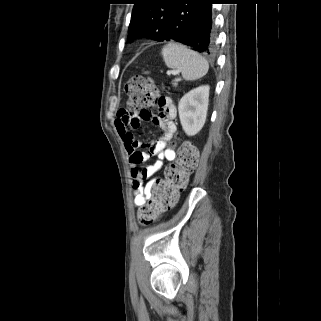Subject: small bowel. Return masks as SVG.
<instances>
[{
	"mask_svg": "<svg viewBox=\"0 0 321 321\" xmlns=\"http://www.w3.org/2000/svg\"><path fill=\"white\" fill-rule=\"evenodd\" d=\"M155 107L157 113H152L148 109L136 112L121 109L115 120L116 130L124 143L131 165L134 204L138 207L146 203L152 196L156 182L161 181V178L155 175L162 168L164 161H173L176 158L175 150L167 146L176 131V107L171 98L166 96L160 97ZM143 121H152L162 129L163 134L158 139L142 144L134 137L132 131ZM144 148L147 150H143ZM151 156L157 158L156 162L143 168L141 165ZM145 180L148 181L145 183Z\"/></svg>",
	"mask_w": 321,
	"mask_h": 321,
	"instance_id": "c3829d8e",
	"label": "small bowel"
}]
</instances>
